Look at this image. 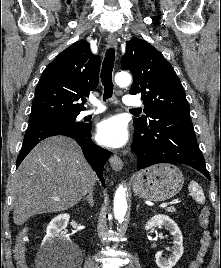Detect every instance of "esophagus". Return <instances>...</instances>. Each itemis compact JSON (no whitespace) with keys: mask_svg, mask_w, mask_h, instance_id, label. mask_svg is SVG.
I'll return each mask as SVG.
<instances>
[{"mask_svg":"<svg viewBox=\"0 0 221 268\" xmlns=\"http://www.w3.org/2000/svg\"><path fill=\"white\" fill-rule=\"evenodd\" d=\"M107 40H108V43L110 46L116 48L117 39H116V36L114 34H109ZM110 165L114 171H120V170H122L124 164H123V161L121 160V158L117 154H113L110 157Z\"/></svg>","mask_w":221,"mask_h":268,"instance_id":"34e87169","label":"esophagus"}]
</instances>
